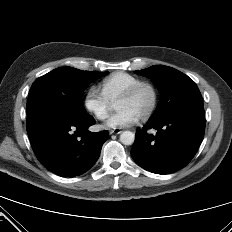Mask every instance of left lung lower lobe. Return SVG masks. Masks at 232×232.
<instances>
[{"label":"left lung lower lobe","mask_w":232,"mask_h":232,"mask_svg":"<svg viewBox=\"0 0 232 232\" xmlns=\"http://www.w3.org/2000/svg\"><path fill=\"white\" fill-rule=\"evenodd\" d=\"M157 130L156 135L147 129ZM205 131L202 99L182 104L159 118L149 119L136 132L131 155L142 168L169 174L185 167L196 154Z\"/></svg>","instance_id":"obj_1"}]
</instances>
